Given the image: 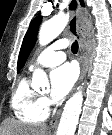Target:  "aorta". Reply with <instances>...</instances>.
<instances>
[{
	"mask_svg": "<svg viewBox=\"0 0 112 135\" xmlns=\"http://www.w3.org/2000/svg\"><path fill=\"white\" fill-rule=\"evenodd\" d=\"M69 16L58 14L45 22L39 31V43L46 45L53 41L66 27ZM32 84L36 87L45 88L49 81L46 73L41 69H36L33 73ZM83 94L79 89L65 104L61 114L56 135H74L82 111Z\"/></svg>",
	"mask_w": 112,
	"mask_h": 135,
	"instance_id": "aorta-1",
	"label": "aorta"
}]
</instances>
